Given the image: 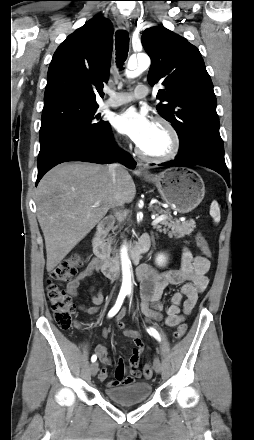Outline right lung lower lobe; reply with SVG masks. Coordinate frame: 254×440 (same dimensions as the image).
<instances>
[{
  "label": "right lung lower lobe",
  "instance_id": "98d812e1",
  "mask_svg": "<svg viewBox=\"0 0 254 440\" xmlns=\"http://www.w3.org/2000/svg\"><path fill=\"white\" fill-rule=\"evenodd\" d=\"M118 160L128 168H135L136 162L131 155L123 150L115 153V142L112 137L110 125L105 132L96 138L85 139L79 143L64 144L56 147L50 154L38 163V176L36 185L51 168L67 161H85L98 164L112 163Z\"/></svg>",
  "mask_w": 254,
  "mask_h": 440
}]
</instances>
